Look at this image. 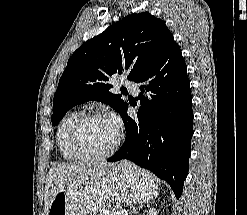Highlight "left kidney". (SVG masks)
I'll list each match as a JSON object with an SVG mask.
<instances>
[{
	"label": "left kidney",
	"mask_w": 247,
	"mask_h": 215,
	"mask_svg": "<svg viewBox=\"0 0 247 215\" xmlns=\"http://www.w3.org/2000/svg\"><path fill=\"white\" fill-rule=\"evenodd\" d=\"M157 211L154 209V208H151L149 211H148V214L147 215H157Z\"/></svg>",
	"instance_id": "obj_1"
}]
</instances>
